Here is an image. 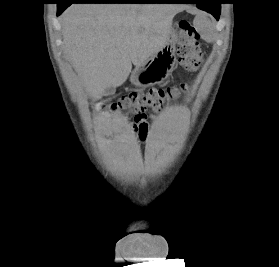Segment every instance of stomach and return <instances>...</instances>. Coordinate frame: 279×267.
<instances>
[{
	"mask_svg": "<svg viewBox=\"0 0 279 267\" xmlns=\"http://www.w3.org/2000/svg\"><path fill=\"white\" fill-rule=\"evenodd\" d=\"M174 33L169 40L144 64L136 67L130 81L136 87H149L162 83L172 72L176 63Z\"/></svg>",
	"mask_w": 279,
	"mask_h": 267,
	"instance_id": "obj_1",
	"label": "stomach"
}]
</instances>
